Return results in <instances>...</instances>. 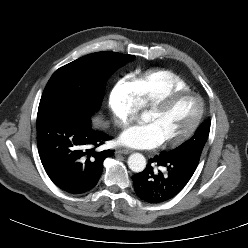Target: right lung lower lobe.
I'll list each match as a JSON object with an SVG mask.
<instances>
[{"instance_id":"98d812e1","label":"right lung lower lobe","mask_w":248,"mask_h":248,"mask_svg":"<svg viewBox=\"0 0 248 248\" xmlns=\"http://www.w3.org/2000/svg\"><path fill=\"white\" fill-rule=\"evenodd\" d=\"M111 137L92 129L90 115L50 110L38 112L37 144L42 165L61 190L83 194L94 188L103 161L114 150L96 148Z\"/></svg>"}]
</instances>
